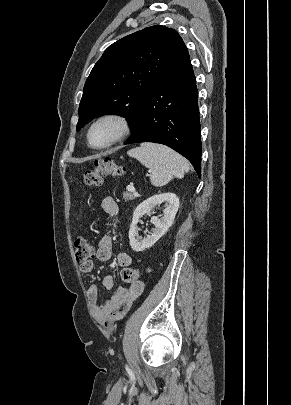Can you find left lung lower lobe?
<instances>
[{"label":"left lung lower lobe","instance_id":"0a47b994","mask_svg":"<svg viewBox=\"0 0 291 405\" xmlns=\"http://www.w3.org/2000/svg\"><path fill=\"white\" fill-rule=\"evenodd\" d=\"M133 131L125 144L166 145L186 157L201 176L198 90L186 46L147 93Z\"/></svg>","mask_w":291,"mask_h":405}]
</instances>
